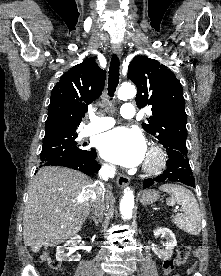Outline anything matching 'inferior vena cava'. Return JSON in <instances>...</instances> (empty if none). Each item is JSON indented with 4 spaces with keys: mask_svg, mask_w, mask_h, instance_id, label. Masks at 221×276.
I'll use <instances>...</instances> for the list:
<instances>
[{
    "mask_svg": "<svg viewBox=\"0 0 221 276\" xmlns=\"http://www.w3.org/2000/svg\"><path fill=\"white\" fill-rule=\"evenodd\" d=\"M116 173L115 167L108 165L102 166L99 176L103 181H107L108 178L114 177ZM91 211L93 217L96 219H102L105 211V187L103 182L97 183V186L94 190V194L91 202Z\"/></svg>",
    "mask_w": 221,
    "mask_h": 276,
    "instance_id": "obj_1",
    "label": "inferior vena cava"
}]
</instances>
